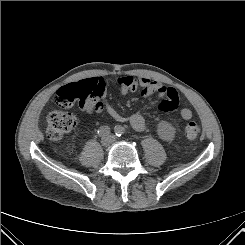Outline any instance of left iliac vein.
Returning a JSON list of instances; mask_svg holds the SVG:
<instances>
[{
	"label": "left iliac vein",
	"mask_w": 245,
	"mask_h": 245,
	"mask_svg": "<svg viewBox=\"0 0 245 245\" xmlns=\"http://www.w3.org/2000/svg\"><path fill=\"white\" fill-rule=\"evenodd\" d=\"M110 139H111V142H115L116 141V138L113 137V136H110Z\"/></svg>",
	"instance_id": "1"
}]
</instances>
